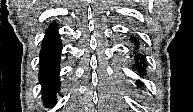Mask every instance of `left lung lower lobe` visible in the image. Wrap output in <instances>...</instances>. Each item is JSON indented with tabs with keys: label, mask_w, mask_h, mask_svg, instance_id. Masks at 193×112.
I'll return each mask as SVG.
<instances>
[{
	"label": "left lung lower lobe",
	"mask_w": 193,
	"mask_h": 112,
	"mask_svg": "<svg viewBox=\"0 0 193 112\" xmlns=\"http://www.w3.org/2000/svg\"><path fill=\"white\" fill-rule=\"evenodd\" d=\"M131 39L134 41L135 45L138 46L139 41L137 39H134L133 37ZM135 61H136V68L138 69V72L140 74H144L146 65H145V60H144L143 56L142 55L135 56ZM141 64H143L144 66L141 67ZM137 83L140 84L139 81Z\"/></svg>",
	"instance_id": "1"
}]
</instances>
